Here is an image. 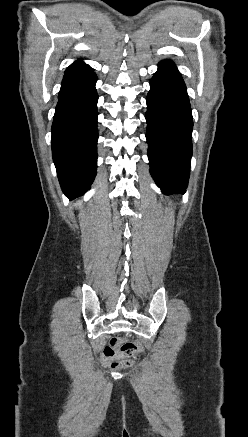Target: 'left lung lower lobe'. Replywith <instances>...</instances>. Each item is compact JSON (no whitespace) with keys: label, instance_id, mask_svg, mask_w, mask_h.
Listing matches in <instances>:
<instances>
[{"label":"left lung lower lobe","instance_id":"left-lung-lower-lobe-1","mask_svg":"<svg viewBox=\"0 0 248 437\" xmlns=\"http://www.w3.org/2000/svg\"><path fill=\"white\" fill-rule=\"evenodd\" d=\"M146 102L150 173L162 193L184 194L190 174L193 119L186 85L172 61L158 64Z\"/></svg>","mask_w":248,"mask_h":437}]
</instances>
